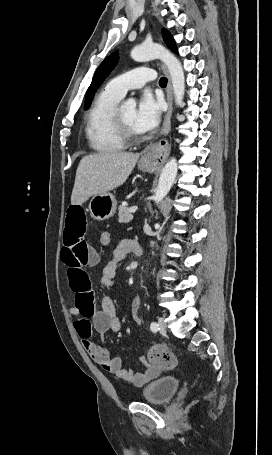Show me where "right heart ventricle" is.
Masks as SVG:
<instances>
[{"instance_id": "e07e8e85", "label": "right heart ventricle", "mask_w": 272, "mask_h": 455, "mask_svg": "<svg viewBox=\"0 0 272 455\" xmlns=\"http://www.w3.org/2000/svg\"><path fill=\"white\" fill-rule=\"evenodd\" d=\"M121 97L107 87L95 98L85 119V135L89 147L102 154L117 153L125 149V144L118 137L113 115Z\"/></svg>"}]
</instances>
